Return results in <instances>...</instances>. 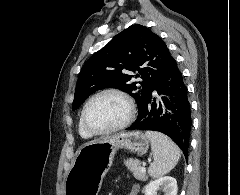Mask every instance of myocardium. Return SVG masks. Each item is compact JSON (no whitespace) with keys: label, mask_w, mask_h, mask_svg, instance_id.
I'll list each match as a JSON object with an SVG mask.
<instances>
[{"label":"myocardium","mask_w":240,"mask_h":195,"mask_svg":"<svg viewBox=\"0 0 240 195\" xmlns=\"http://www.w3.org/2000/svg\"><path fill=\"white\" fill-rule=\"evenodd\" d=\"M106 95H117L122 99H124L128 107V113L125 119L121 123L107 129L95 130L87 125L86 114H87L88 108L95 100ZM135 115H136V108L131 96L122 90L110 88V89H105L96 93L87 101L82 111L81 125L84 128V130L87 131L91 136L109 135V134L121 131L126 127H128L131 124V122L134 120Z\"/></svg>","instance_id":"f54148a6"}]
</instances>
